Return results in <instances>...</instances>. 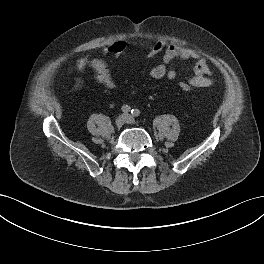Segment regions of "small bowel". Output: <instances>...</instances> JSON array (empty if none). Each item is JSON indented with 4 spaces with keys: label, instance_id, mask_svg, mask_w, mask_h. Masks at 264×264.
<instances>
[{
    "label": "small bowel",
    "instance_id": "c3829d8e",
    "mask_svg": "<svg viewBox=\"0 0 264 264\" xmlns=\"http://www.w3.org/2000/svg\"><path fill=\"white\" fill-rule=\"evenodd\" d=\"M189 60L196 61L193 67L194 75L190 79L193 86H210L213 83V77L207 61L195 50L178 44H170L165 47L161 63L150 70L149 76L156 80L162 78L173 80L177 77V70L175 67L171 66V64L174 61L184 63ZM87 67H91L94 70L95 79L99 84H102L109 89L116 86V82L111 75L110 69L103 59L84 53L77 61V69L82 72Z\"/></svg>",
    "mask_w": 264,
    "mask_h": 264
}]
</instances>
